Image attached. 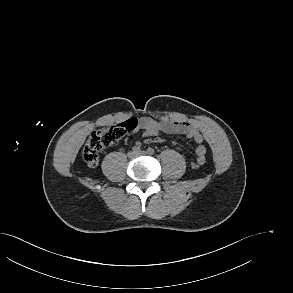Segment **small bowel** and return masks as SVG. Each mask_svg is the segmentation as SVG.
<instances>
[{
    "label": "small bowel",
    "mask_w": 293,
    "mask_h": 293,
    "mask_svg": "<svg viewBox=\"0 0 293 293\" xmlns=\"http://www.w3.org/2000/svg\"><path fill=\"white\" fill-rule=\"evenodd\" d=\"M139 128L144 136H156L160 133L184 135L191 138L197 144L196 155L205 156L206 149L203 146V136L195 125L186 121L156 120L151 117H141L138 121Z\"/></svg>",
    "instance_id": "small-bowel-1"
}]
</instances>
